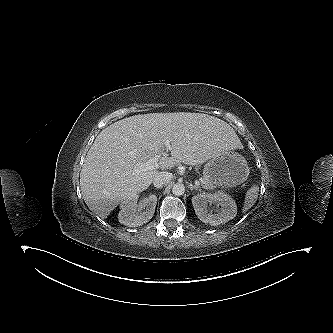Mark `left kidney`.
Masks as SVG:
<instances>
[{
    "mask_svg": "<svg viewBox=\"0 0 333 333\" xmlns=\"http://www.w3.org/2000/svg\"><path fill=\"white\" fill-rule=\"evenodd\" d=\"M192 204L197 217L204 223L216 226L232 220L237 214V205L231 196L218 192L214 194L200 193L192 197ZM208 204H214L213 213L207 209ZM220 206V207H219Z\"/></svg>",
    "mask_w": 333,
    "mask_h": 333,
    "instance_id": "1",
    "label": "left kidney"
}]
</instances>
